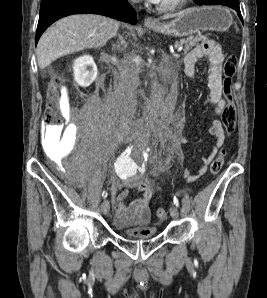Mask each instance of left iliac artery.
I'll return each mask as SVG.
<instances>
[{
  "mask_svg": "<svg viewBox=\"0 0 267 298\" xmlns=\"http://www.w3.org/2000/svg\"><path fill=\"white\" fill-rule=\"evenodd\" d=\"M173 202H174V204H175L177 207H179V200H178V198H177L176 196H174V198H173Z\"/></svg>",
  "mask_w": 267,
  "mask_h": 298,
  "instance_id": "left-iliac-artery-1",
  "label": "left iliac artery"
}]
</instances>
